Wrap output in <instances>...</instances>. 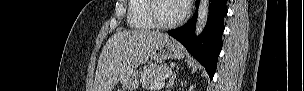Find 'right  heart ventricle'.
Listing matches in <instances>:
<instances>
[{
  "mask_svg": "<svg viewBox=\"0 0 304 91\" xmlns=\"http://www.w3.org/2000/svg\"><path fill=\"white\" fill-rule=\"evenodd\" d=\"M148 0H129L128 24L133 29L149 30L155 28L147 14Z\"/></svg>",
  "mask_w": 304,
  "mask_h": 91,
  "instance_id": "obj_1",
  "label": "right heart ventricle"
}]
</instances>
